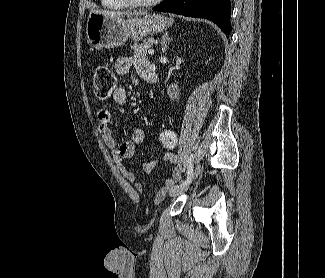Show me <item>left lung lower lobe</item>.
Here are the masks:
<instances>
[{"mask_svg":"<svg viewBox=\"0 0 325 278\" xmlns=\"http://www.w3.org/2000/svg\"><path fill=\"white\" fill-rule=\"evenodd\" d=\"M230 8V0H165L153 10L209 19L229 35Z\"/></svg>","mask_w":325,"mask_h":278,"instance_id":"1","label":"left lung lower lobe"}]
</instances>
